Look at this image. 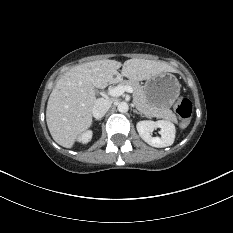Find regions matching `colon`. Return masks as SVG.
<instances>
[{"mask_svg":"<svg viewBox=\"0 0 233 233\" xmlns=\"http://www.w3.org/2000/svg\"><path fill=\"white\" fill-rule=\"evenodd\" d=\"M175 110L180 117L182 127H187L192 114V103L188 98L180 97L175 103Z\"/></svg>","mask_w":233,"mask_h":233,"instance_id":"colon-1","label":"colon"}]
</instances>
